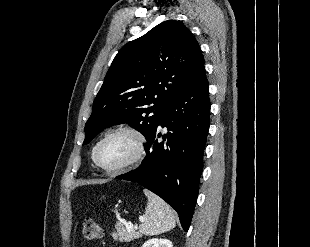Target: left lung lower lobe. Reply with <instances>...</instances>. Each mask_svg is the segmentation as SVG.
<instances>
[{
    "mask_svg": "<svg viewBox=\"0 0 310 247\" xmlns=\"http://www.w3.org/2000/svg\"><path fill=\"white\" fill-rule=\"evenodd\" d=\"M208 81L204 67L167 105L160 122L145 144L141 166L117 178L137 182L174 208L188 231L193 216L203 153L210 126ZM160 126L168 133L161 137Z\"/></svg>",
    "mask_w": 310,
    "mask_h": 247,
    "instance_id": "0a47b994",
    "label": "left lung lower lobe"
}]
</instances>
